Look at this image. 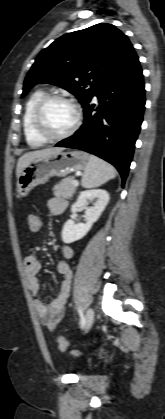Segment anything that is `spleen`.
I'll use <instances>...</instances> for the list:
<instances>
[{
    "label": "spleen",
    "mask_w": 165,
    "mask_h": 419,
    "mask_svg": "<svg viewBox=\"0 0 165 419\" xmlns=\"http://www.w3.org/2000/svg\"><path fill=\"white\" fill-rule=\"evenodd\" d=\"M115 177L113 166L96 156H90L81 183L84 188L98 187Z\"/></svg>",
    "instance_id": "spleen-1"
}]
</instances>
